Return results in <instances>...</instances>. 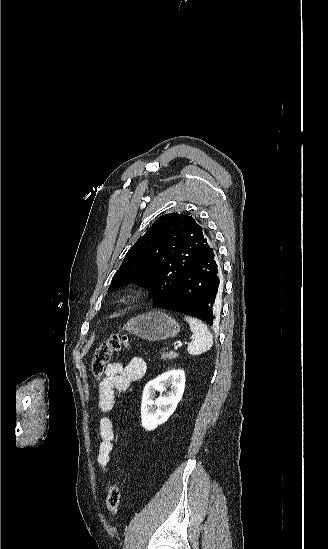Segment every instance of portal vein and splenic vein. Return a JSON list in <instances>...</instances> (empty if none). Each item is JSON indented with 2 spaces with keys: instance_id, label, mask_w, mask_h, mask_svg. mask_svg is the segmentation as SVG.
Listing matches in <instances>:
<instances>
[{
  "instance_id": "portal-vein-and-splenic-vein-1",
  "label": "portal vein and splenic vein",
  "mask_w": 328,
  "mask_h": 549,
  "mask_svg": "<svg viewBox=\"0 0 328 549\" xmlns=\"http://www.w3.org/2000/svg\"><path fill=\"white\" fill-rule=\"evenodd\" d=\"M181 345H183V343H179V345H177V347H181ZM176 346H172V349L173 351H178V348Z\"/></svg>"
}]
</instances>
